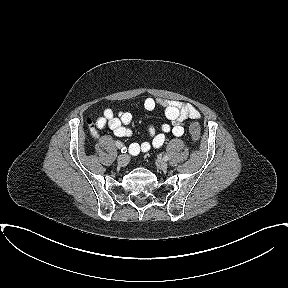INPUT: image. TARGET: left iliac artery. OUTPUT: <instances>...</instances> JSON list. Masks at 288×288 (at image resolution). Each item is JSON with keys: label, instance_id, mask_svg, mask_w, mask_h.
Returning a JSON list of instances; mask_svg holds the SVG:
<instances>
[{"label": "left iliac artery", "instance_id": "left-iliac-artery-1", "mask_svg": "<svg viewBox=\"0 0 288 288\" xmlns=\"http://www.w3.org/2000/svg\"><path fill=\"white\" fill-rule=\"evenodd\" d=\"M163 159H164L165 161H167V160L169 159V157H168L167 155H164Z\"/></svg>", "mask_w": 288, "mask_h": 288}]
</instances>
